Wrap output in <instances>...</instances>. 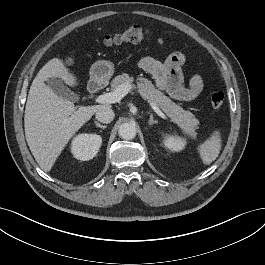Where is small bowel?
Returning a JSON list of instances; mask_svg holds the SVG:
<instances>
[{
	"mask_svg": "<svg viewBox=\"0 0 265 265\" xmlns=\"http://www.w3.org/2000/svg\"><path fill=\"white\" fill-rule=\"evenodd\" d=\"M158 43L163 46V39L159 38ZM184 63L185 57L181 52H172L164 60L150 56L142 57L138 66L152 75L156 85L172 98L179 101H191L201 93L204 82L202 76L195 73L190 78L188 85L185 86L182 73Z\"/></svg>",
	"mask_w": 265,
	"mask_h": 265,
	"instance_id": "obj_1",
	"label": "small bowel"
}]
</instances>
